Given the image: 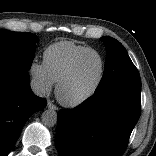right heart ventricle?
I'll return each mask as SVG.
<instances>
[{
    "instance_id": "1",
    "label": "right heart ventricle",
    "mask_w": 156,
    "mask_h": 156,
    "mask_svg": "<svg viewBox=\"0 0 156 156\" xmlns=\"http://www.w3.org/2000/svg\"><path fill=\"white\" fill-rule=\"evenodd\" d=\"M92 49L70 41L50 45L43 54V64L54 83L63 76L73 60L82 52Z\"/></svg>"
}]
</instances>
